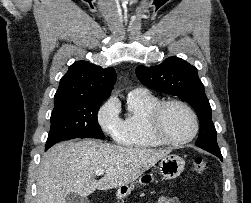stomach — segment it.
<instances>
[{
	"instance_id": "1",
	"label": "stomach",
	"mask_w": 251,
	"mask_h": 203,
	"mask_svg": "<svg viewBox=\"0 0 251 203\" xmlns=\"http://www.w3.org/2000/svg\"><path fill=\"white\" fill-rule=\"evenodd\" d=\"M184 160L175 154H169L163 157L159 162V172L166 179H174L178 177L184 170ZM155 176L152 173H143L138 178V183L142 186H147L155 181ZM132 187L124 185L118 188L117 197L125 198L130 195Z\"/></svg>"
}]
</instances>
